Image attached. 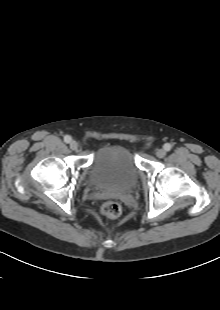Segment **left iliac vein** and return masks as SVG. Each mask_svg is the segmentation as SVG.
Returning <instances> with one entry per match:
<instances>
[{
    "label": "left iliac vein",
    "instance_id": "obj_1",
    "mask_svg": "<svg viewBox=\"0 0 220 310\" xmlns=\"http://www.w3.org/2000/svg\"><path fill=\"white\" fill-rule=\"evenodd\" d=\"M156 156L158 158H164L166 156V151L164 149H158L156 151Z\"/></svg>",
    "mask_w": 220,
    "mask_h": 310
}]
</instances>
